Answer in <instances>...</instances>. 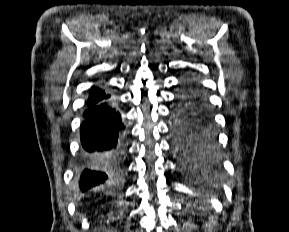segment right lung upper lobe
<instances>
[{
    "mask_svg": "<svg viewBox=\"0 0 289 232\" xmlns=\"http://www.w3.org/2000/svg\"><path fill=\"white\" fill-rule=\"evenodd\" d=\"M110 96V94L106 93L105 91L96 88L89 96V98L91 99H98V98H104V97H108Z\"/></svg>",
    "mask_w": 289,
    "mask_h": 232,
    "instance_id": "obj_1",
    "label": "right lung upper lobe"
}]
</instances>
